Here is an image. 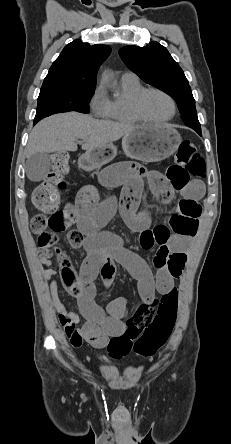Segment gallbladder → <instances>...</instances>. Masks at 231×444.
<instances>
[{
    "mask_svg": "<svg viewBox=\"0 0 231 444\" xmlns=\"http://www.w3.org/2000/svg\"><path fill=\"white\" fill-rule=\"evenodd\" d=\"M50 159L47 153H35L27 159L25 170L31 181H40L50 171Z\"/></svg>",
    "mask_w": 231,
    "mask_h": 444,
    "instance_id": "1",
    "label": "gallbladder"
}]
</instances>
